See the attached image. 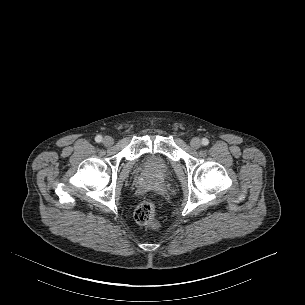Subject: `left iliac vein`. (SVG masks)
<instances>
[{"mask_svg": "<svg viewBox=\"0 0 305 305\" xmlns=\"http://www.w3.org/2000/svg\"><path fill=\"white\" fill-rule=\"evenodd\" d=\"M190 145L193 149H198L201 146V140L195 137L191 140Z\"/></svg>", "mask_w": 305, "mask_h": 305, "instance_id": "left-iliac-vein-1", "label": "left iliac vein"}]
</instances>
